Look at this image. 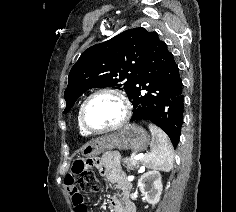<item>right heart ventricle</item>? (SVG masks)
<instances>
[{
  "instance_id": "1",
  "label": "right heart ventricle",
  "mask_w": 236,
  "mask_h": 212,
  "mask_svg": "<svg viewBox=\"0 0 236 212\" xmlns=\"http://www.w3.org/2000/svg\"><path fill=\"white\" fill-rule=\"evenodd\" d=\"M78 129L81 135H88V133L83 129V127L81 126L80 122H79V113H78Z\"/></svg>"
}]
</instances>
